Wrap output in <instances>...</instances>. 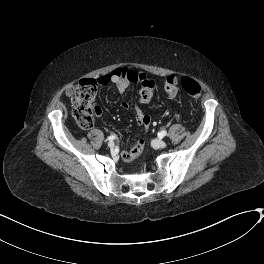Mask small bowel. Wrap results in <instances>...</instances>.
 <instances>
[{"label": "small bowel", "mask_w": 264, "mask_h": 264, "mask_svg": "<svg viewBox=\"0 0 264 264\" xmlns=\"http://www.w3.org/2000/svg\"><path fill=\"white\" fill-rule=\"evenodd\" d=\"M147 78L148 76L142 70L119 68L114 70L111 74L98 78L97 82L102 86L112 83L120 93H124L129 84H140ZM120 106L123 110H128L130 108V104L127 101H122ZM133 109L138 126L142 129H146L151 122L150 117L145 113L144 109L139 104H135ZM97 110L101 113L100 107H97Z\"/></svg>", "instance_id": "small-bowel-1"}]
</instances>
